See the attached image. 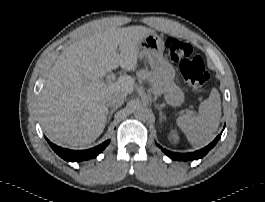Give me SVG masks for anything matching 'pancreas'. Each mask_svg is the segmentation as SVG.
<instances>
[{
	"label": "pancreas",
	"instance_id": "pancreas-1",
	"mask_svg": "<svg viewBox=\"0 0 265 202\" xmlns=\"http://www.w3.org/2000/svg\"><path fill=\"white\" fill-rule=\"evenodd\" d=\"M139 78L141 80H148L151 83L155 94L161 95L164 93V84L154 73L146 69L139 72Z\"/></svg>",
	"mask_w": 265,
	"mask_h": 202
}]
</instances>
